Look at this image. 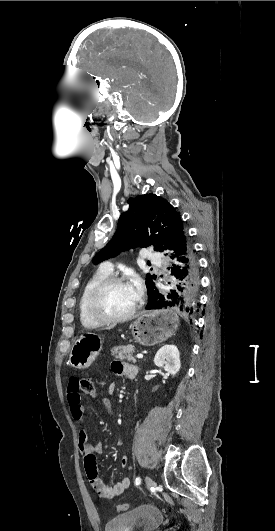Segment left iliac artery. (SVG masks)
Masks as SVG:
<instances>
[{
  "label": "left iliac artery",
  "instance_id": "44dca946",
  "mask_svg": "<svg viewBox=\"0 0 275 531\" xmlns=\"http://www.w3.org/2000/svg\"><path fill=\"white\" fill-rule=\"evenodd\" d=\"M140 483H141V478L137 477L136 480H135V484L136 485H140Z\"/></svg>",
  "mask_w": 275,
  "mask_h": 531
}]
</instances>
